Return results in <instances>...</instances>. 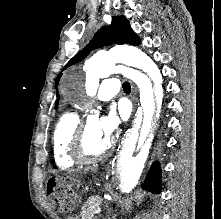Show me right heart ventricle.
<instances>
[{"label":"right heart ventricle","mask_w":221,"mask_h":219,"mask_svg":"<svg viewBox=\"0 0 221 219\" xmlns=\"http://www.w3.org/2000/svg\"><path fill=\"white\" fill-rule=\"evenodd\" d=\"M81 119L78 113H63L54 126L52 151L55 164L60 169L72 167L76 162L70 156V145Z\"/></svg>","instance_id":"right-heart-ventricle-1"}]
</instances>
